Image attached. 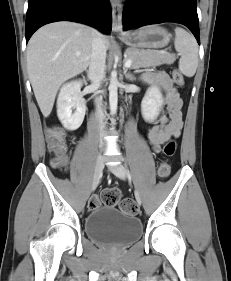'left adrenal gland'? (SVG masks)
<instances>
[{"label": "left adrenal gland", "mask_w": 231, "mask_h": 281, "mask_svg": "<svg viewBox=\"0 0 231 281\" xmlns=\"http://www.w3.org/2000/svg\"><path fill=\"white\" fill-rule=\"evenodd\" d=\"M124 75H125V78L129 81L135 80V77L131 73L127 72L126 68H124Z\"/></svg>", "instance_id": "left-adrenal-gland-1"}]
</instances>
